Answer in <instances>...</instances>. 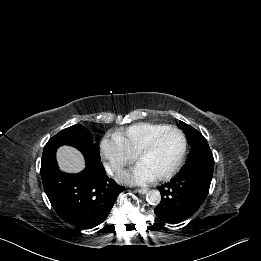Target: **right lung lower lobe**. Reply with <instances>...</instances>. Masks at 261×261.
Masks as SVG:
<instances>
[{"label":"right lung lower lobe","instance_id":"right-lung-lower-lobe-1","mask_svg":"<svg viewBox=\"0 0 261 261\" xmlns=\"http://www.w3.org/2000/svg\"><path fill=\"white\" fill-rule=\"evenodd\" d=\"M74 147L85 157L84 171L78 174L61 172L54 158L42 162L41 176L57 214L69 224L90 229L106 219L124 187L106 176L100 155L90 151L84 140H79Z\"/></svg>","mask_w":261,"mask_h":261}]
</instances>
